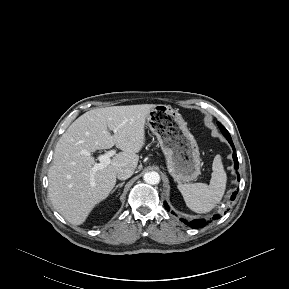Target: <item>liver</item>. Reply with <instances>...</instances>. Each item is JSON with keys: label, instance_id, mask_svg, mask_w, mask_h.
I'll return each instance as SVG.
<instances>
[{"label": "liver", "instance_id": "6515ba94", "mask_svg": "<svg viewBox=\"0 0 289 289\" xmlns=\"http://www.w3.org/2000/svg\"><path fill=\"white\" fill-rule=\"evenodd\" d=\"M153 104L113 106L90 110L77 118L58 140L48 170V196L69 223L81 225L92 209L106 199L122 168L136 169L145 144V123ZM108 129L112 130V135ZM116 146L111 164L92 173L94 152Z\"/></svg>", "mask_w": 289, "mask_h": 289}]
</instances>
